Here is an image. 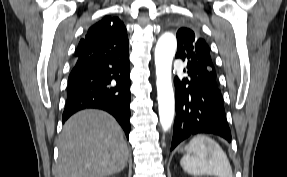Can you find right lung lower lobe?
<instances>
[{"instance_id": "right-lung-lower-lobe-1", "label": "right lung lower lobe", "mask_w": 287, "mask_h": 177, "mask_svg": "<svg viewBox=\"0 0 287 177\" xmlns=\"http://www.w3.org/2000/svg\"><path fill=\"white\" fill-rule=\"evenodd\" d=\"M86 53L77 58L68 78L63 123L74 113L97 108L113 115L130 133V64L127 33L86 38Z\"/></svg>"}]
</instances>
